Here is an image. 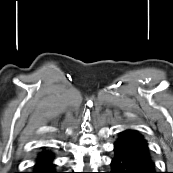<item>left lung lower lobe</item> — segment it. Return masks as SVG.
I'll return each mask as SVG.
<instances>
[{
    "label": "left lung lower lobe",
    "instance_id": "left-lung-lower-lobe-1",
    "mask_svg": "<svg viewBox=\"0 0 173 173\" xmlns=\"http://www.w3.org/2000/svg\"><path fill=\"white\" fill-rule=\"evenodd\" d=\"M109 173H157L149 150L116 141Z\"/></svg>",
    "mask_w": 173,
    "mask_h": 173
}]
</instances>
